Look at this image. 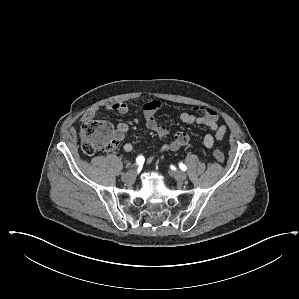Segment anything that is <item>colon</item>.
Here are the masks:
<instances>
[{"instance_id":"colon-1","label":"colon","mask_w":299,"mask_h":299,"mask_svg":"<svg viewBox=\"0 0 299 299\" xmlns=\"http://www.w3.org/2000/svg\"><path fill=\"white\" fill-rule=\"evenodd\" d=\"M80 141L82 152L88 156L112 150L116 144L113 126L106 120H87L82 125ZM213 156L219 162L225 160V155L219 149L213 150Z\"/></svg>"}]
</instances>
